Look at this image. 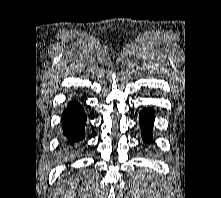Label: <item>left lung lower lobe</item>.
Segmentation results:
<instances>
[{"instance_id":"1","label":"left lung lower lobe","mask_w":221,"mask_h":198,"mask_svg":"<svg viewBox=\"0 0 221 198\" xmlns=\"http://www.w3.org/2000/svg\"><path fill=\"white\" fill-rule=\"evenodd\" d=\"M154 110L152 108H144L140 112L139 123L142 131V138L144 142L152 140L151 130L154 124Z\"/></svg>"}]
</instances>
